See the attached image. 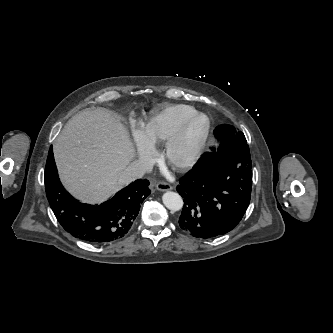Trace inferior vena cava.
I'll return each mask as SVG.
<instances>
[{"instance_id": "1", "label": "inferior vena cava", "mask_w": 333, "mask_h": 333, "mask_svg": "<svg viewBox=\"0 0 333 333\" xmlns=\"http://www.w3.org/2000/svg\"><path fill=\"white\" fill-rule=\"evenodd\" d=\"M150 166L142 161H133L121 174L120 181L122 183H129L136 179L142 178L148 172Z\"/></svg>"}]
</instances>
